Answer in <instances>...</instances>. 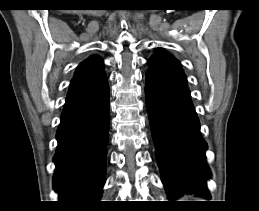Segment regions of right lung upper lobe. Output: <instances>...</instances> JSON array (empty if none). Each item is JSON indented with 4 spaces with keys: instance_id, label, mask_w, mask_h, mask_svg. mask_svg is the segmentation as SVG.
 Wrapping results in <instances>:
<instances>
[{
    "instance_id": "obj_1",
    "label": "right lung upper lobe",
    "mask_w": 259,
    "mask_h": 211,
    "mask_svg": "<svg viewBox=\"0 0 259 211\" xmlns=\"http://www.w3.org/2000/svg\"><path fill=\"white\" fill-rule=\"evenodd\" d=\"M106 81L102 59L98 56L90 57L78 66L66 101L86 96L97 90Z\"/></svg>"
}]
</instances>
